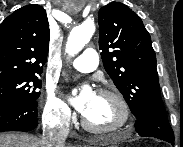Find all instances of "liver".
Instances as JSON below:
<instances>
[{
    "mask_svg": "<svg viewBox=\"0 0 183 147\" xmlns=\"http://www.w3.org/2000/svg\"><path fill=\"white\" fill-rule=\"evenodd\" d=\"M0 147H44L35 136L18 133L0 134Z\"/></svg>",
    "mask_w": 183,
    "mask_h": 147,
    "instance_id": "liver-1",
    "label": "liver"
}]
</instances>
